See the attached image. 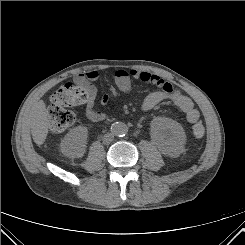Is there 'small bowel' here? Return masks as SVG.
Wrapping results in <instances>:
<instances>
[{
    "instance_id": "c3829d8e",
    "label": "small bowel",
    "mask_w": 245,
    "mask_h": 245,
    "mask_svg": "<svg viewBox=\"0 0 245 245\" xmlns=\"http://www.w3.org/2000/svg\"><path fill=\"white\" fill-rule=\"evenodd\" d=\"M98 78L99 73L97 71H88L74 77L76 83L88 86L91 90V97L84 105V114L91 122H100L106 118L105 113L99 111L95 104L96 89L92 82L98 80ZM114 80L117 88L122 92H128L131 89L133 80L151 84L158 88L143 99L140 106L141 112H148L160 103L169 101L185 114L189 123H196L200 120V112L195 108L193 101L181 91L175 89L171 82L156 74L136 69H119L114 74ZM100 101L103 105L107 104L109 96L103 95Z\"/></svg>"
}]
</instances>
